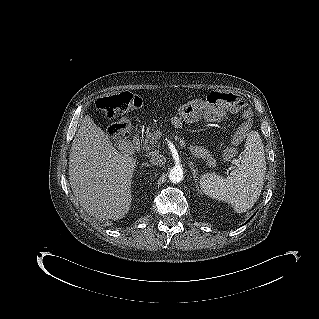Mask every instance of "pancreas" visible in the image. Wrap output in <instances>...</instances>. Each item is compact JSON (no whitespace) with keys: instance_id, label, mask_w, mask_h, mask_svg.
I'll return each instance as SVG.
<instances>
[{"instance_id":"cf45deb5","label":"pancreas","mask_w":319,"mask_h":319,"mask_svg":"<svg viewBox=\"0 0 319 319\" xmlns=\"http://www.w3.org/2000/svg\"><path fill=\"white\" fill-rule=\"evenodd\" d=\"M157 144V138L155 137L154 133L148 129L146 131V138L143 141L142 148L148 151L156 147ZM205 160L206 164L210 167H214L216 165V160L210 154L205 155Z\"/></svg>"}]
</instances>
